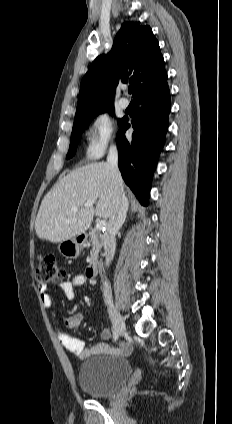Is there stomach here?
<instances>
[{
	"instance_id": "0dacf381",
	"label": "stomach",
	"mask_w": 232,
	"mask_h": 424,
	"mask_svg": "<svg viewBox=\"0 0 232 424\" xmlns=\"http://www.w3.org/2000/svg\"><path fill=\"white\" fill-rule=\"evenodd\" d=\"M84 242L85 239L83 237H73L61 241L59 243L58 249L64 257L74 259L80 255Z\"/></svg>"
}]
</instances>
